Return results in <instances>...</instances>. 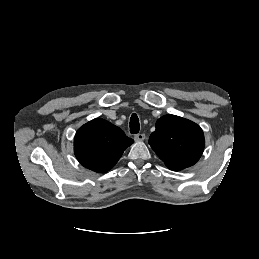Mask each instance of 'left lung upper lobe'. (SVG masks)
<instances>
[{"mask_svg":"<svg viewBox=\"0 0 259 259\" xmlns=\"http://www.w3.org/2000/svg\"><path fill=\"white\" fill-rule=\"evenodd\" d=\"M149 144L169 169L179 171L199 160L205 140L199 125L169 114L157 120Z\"/></svg>","mask_w":259,"mask_h":259,"instance_id":"5c2ea615","label":"left lung upper lobe"}]
</instances>
